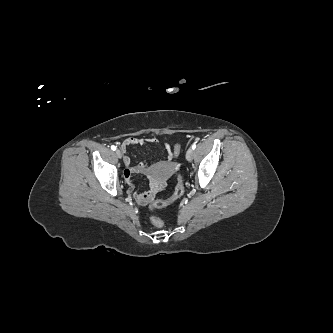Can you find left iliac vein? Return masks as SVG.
<instances>
[{"label": "left iliac vein", "mask_w": 333, "mask_h": 333, "mask_svg": "<svg viewBox=\"0 0 333 333\" xmlns=\"http://www.w3.org/2000/svg\"><path fill=\"white\" fill-rule=\"evenodd\" d=\"M186 159L188 161H191L193 159V149L189 148L186 152Z\"/></svg>", "instance_id": "1"}]
</instances>
